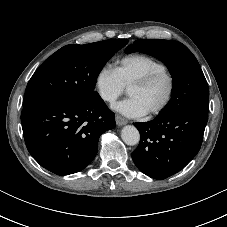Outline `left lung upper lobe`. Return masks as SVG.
Listing matches in <instances>:
<instances>
[{
	"instance_id": "left-lung-upper-lobe-1",
	"label": "left lung upper lobe",
	"mask_w": 227,
	"mask_h": 227,
	"mask_svg": "<svg viewBox=\"0 0 227 227\" xmlns=\"http://www.w3.org/2000/svg\"><path fill=\"white\" fill-rule=\"evenodd\" d=\"M141 52L164 62L172 78V97L158 116L178 112L208 115L209 88L200 65L191 51L173 40L139 39L129 45L126 53Z\"/></svg>"
}]
</instances>
